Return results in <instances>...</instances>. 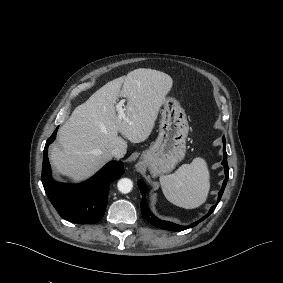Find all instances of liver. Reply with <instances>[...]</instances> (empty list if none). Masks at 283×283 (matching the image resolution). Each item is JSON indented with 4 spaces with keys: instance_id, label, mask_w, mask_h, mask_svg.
Masks as SVG:
<instances>
[{
    "instance_id": "liver-1",
    "label": "liver",
    "mask_w": 283,
    "mask_h": 283,
    "mask_svg": "<svg viewBox=\"0 0 283 283\" xmlns=\"http://www.w3.org/2000/svg\"><path fill=\"white\" fill-rule=\"evenodd\" d=\"M172 84L166 73L139 68L102 86L59 129L63 149L53 146L50 154L57 172L75 181L86 179L112 159L114 148L126 153L127 142L118 133L132 143L146 140ZM119 96L127 98L129 122L116 113Z\"/></svg>"
}]
</instances>
